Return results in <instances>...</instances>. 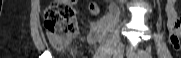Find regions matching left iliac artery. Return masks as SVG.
Masks as SVG:
<instances>
[{
	"mask_svg": "<svg viewBox=\"0 0 181 58\" xmlns=\"http://www.w3.org/2000/svg\"><path fill=\"white\" fill-rule=\"evenodd\" d=\"M142 54L144 55L145 58H152L151 57V54L145 52V51H142Z\"/></svg>",
	"mask_w": 181,
	"mask_h": 58,
	"instance_id": "left-iliac-artery-1",
	"label": "left iliac artery"
}]
</instances>
